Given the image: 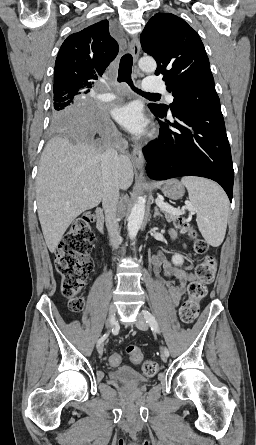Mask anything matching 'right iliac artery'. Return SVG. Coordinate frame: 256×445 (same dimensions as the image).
Segmentation results:
<instances>
[{
    "label": "right iliac artery",
    "instance_id": "82829eb1",
    "mask_svg": "<svg viewBox=\"0 0 256 445\" xmlns=\"http://www.w3.org/2000/svg\"><path fill=\"white\" fill-rule=\"evenodd\" d=\"M115 324V319H114V321H113V323H112V325H114ZM109 334H110V332H108V333H106V334H104L99 340H98V342H97V348H98V346L109 336Z\"/></svg>",
    "mask_w": 256,
    "mask_h": 445
}]
</instances>
